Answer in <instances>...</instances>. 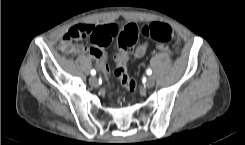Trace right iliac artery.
Returning a JSON list of instances; mask_svg holds the SVG:
<instances>
[{"mask_svg": "<svg viewBox=\"0 0 245 145\" xmlns=\"http://www.w3.org/2000/svg\"><path fill=\"white\" fill-rule=\"evenodd\" d=\"M91 75H95L96 74V71L95 70H91Z\"/></svg>", "mask_w": 245, "mask_h": 145, "instance_id": "82829eb1", "label": "right iliac artery"}]
</instances>
